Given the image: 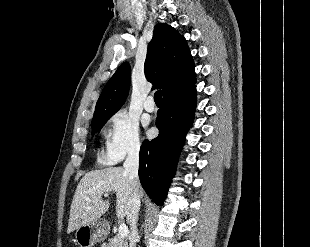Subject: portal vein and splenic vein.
I'll return each instance as SVG.
<instances>
[{"mask_svg": "<svg viewBox=\"0 0 310 247\" xmlns=\"http://www.w3.org/2000/svg\"><path fill=\"white\" fill-rule=\"evenodd\" d=\"M108 195L105 194V197H107ZM129 231H128V227L125 224H120L119 225V230H118V236L120 238H125L128 235Z\"/></svg>", "mask_w": 310, "mask_h": 247, "instance_id": "18ae733b", "label": "portal vein and splenic vein"}]
</instances>
